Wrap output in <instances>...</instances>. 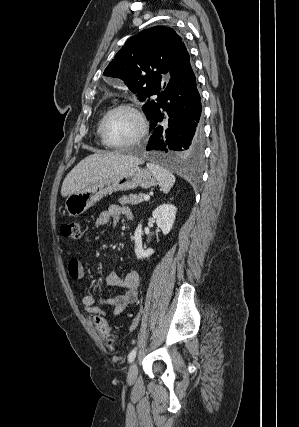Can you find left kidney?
Returning <instances> with one entry per match:
<instances>
[{
    "instance_id": "5707ae66",
    "label": "left kidney",
    "mask_w": 299,
    "mask_h": 427,
    "mask_svg": "<svg viewBox=\"0 0 299 427\" xmlns=\"http://www.w3.org/2000/svg\"><path fill=\"white\" fill-rule=\"evenodd\" d=\"M177 208L172 204H163L157 207L153 213V219L156 221L158 227L161 228L164 235L169 234L171 231L175 217H176ZM135 240V255L137 259H143L150 257L153 253V249L144 250L142 246V224L140 223L134 233Z\"/></svg>"
}]
</instances>
